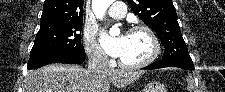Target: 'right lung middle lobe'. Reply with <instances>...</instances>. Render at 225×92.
Returning <instances> with one entry per match:
<instances>
[{"instance_id": "1", "label": "right lung middle lobe", "mask_w": 225, "mask_h": 92, "mask_svg": "<svg viewBox=\"0 0 225 92\" xmlns=\"http://www.w3.org/2000/svg\"><path fill=\"white\" fill-rule=\"evenodd\" d=\"M83 22L43 23L38 31L30 57L66 49H82Z\"/></svg>"}]
</instances>
